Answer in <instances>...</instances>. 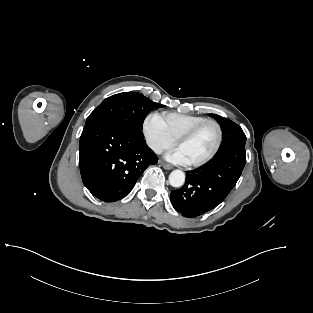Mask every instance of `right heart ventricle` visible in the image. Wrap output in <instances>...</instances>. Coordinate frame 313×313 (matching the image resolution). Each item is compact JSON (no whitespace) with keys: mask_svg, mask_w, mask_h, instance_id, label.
Wrapping results in <instances>:
<instances>
[{"mask_svg":"<svg viewBox=\"0 0 313 313\" xmlns=\"http://www.w3.org/2000/svg\"><path fill=\"white\" fill-rule=\"evenodd\" d=\"M160 116L168 133L174 140H176L180 135L188 131L190 128L207 120V118L203 116L182 114L177 112H165Z\"/></svg>","mask_w":313,"mask_h":313,"instance_id":"1","label":"right heart ventricle"}]
</instances>
